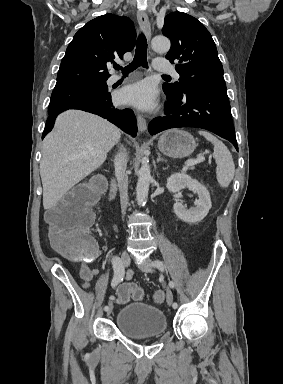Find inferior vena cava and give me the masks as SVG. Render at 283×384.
<instances>
[{"label":"inferior vena cava","mask_w":283,"mask_h":384,"mask_svg":"<svg viewBox=\"0 0 283 384\" xmlns=\"http://www.w3.org/2000/svg\"><path fill=\"white\" fill-rule=\"evenodd\" d=\"M127 162L128 158L126 150L121 152V154H118L114 160L115 174L118 180L120 202L123 214L128 206V176L126 174Z\"/></svg>","instance_id":"inferior-vena-cava-1"}]
</instances>
